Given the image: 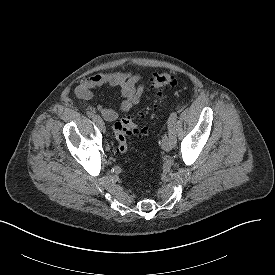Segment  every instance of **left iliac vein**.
<instances>
[{
	"mask_svg": "<svg viewBox=\"0 0 275 275\" xmlns=\"http://www.w3.org/2000/svg\"><path fill=\"white\" fill-rule=\"evenodd\" d=\"M173 146H174V142H173L172 136L168 130V134H166L162 139V148L165 151H170L173 148Z\"/></svg>",
	"mask_w": 275,
	"mask_h": 275,
	"instance_id": "left-iliac-vein-1",
	"label": "left iliac vein"
}]
</instances>
